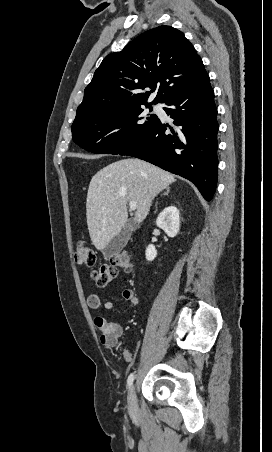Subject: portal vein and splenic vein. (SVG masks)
<instances>
[{
	"mask_svg": "<svg viewBox=\"0 0 272 452\" xmlns=\"http://www.w3.org/2000/svg\"><path fill=\"white\" fill-rule=\"evenodd\" d=\"M129 208H130V210H132V211L136 210V208H137L136 203L133 202V201H130V202H129Z\"/></svg>",
	"mask_w": 272,
	"mask_h": 452,
	"instance_id": "obj_1",
	"label": "portal vein and splenic vein"
}]
</instances>
